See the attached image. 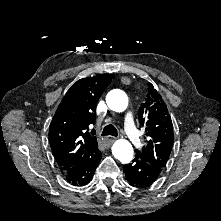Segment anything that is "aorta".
Wrapping results in <instances>:
<instances>
[{
	"label": "aorta",
	"mask_w": 221,
	"mask_h": 221,
	"mask_svg": "<svg viewBox=\"0 0 221 221\" xmlns=\"http://www.w3.org/2000/svg\"><path fill=\"white\" fill-rule=\"evenodd\" d=\"M108 107L115 112H123L128 106L126 93L119 89L111 90L106 96ZM112 153L121 163H129L133 158V147L129 141L119 139L112 146Z\"/></svg>",
	"instance_id": "1"
}]
</instances>
